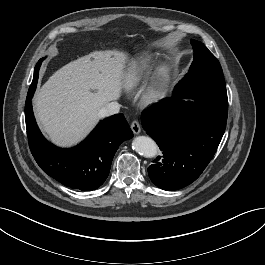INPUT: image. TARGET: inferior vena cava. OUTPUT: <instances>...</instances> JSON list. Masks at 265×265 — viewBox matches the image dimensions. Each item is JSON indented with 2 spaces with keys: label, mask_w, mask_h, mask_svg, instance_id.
Segmentation results:
<instances>
[{
  "label": "inferior vena cava",
  "mask_w": 265,
  "mask_h": 265,
  "mask_svg": "<svg viewBox=\"0 0 265 265\" xmlns=\"http://www.w3.org/2000/svg\"><path fill=\"white\" fill-rule=\"evenodd\" d=\"M120 110V104L117 102H110L102 107L98 113L99 117H107L118 113Z\"/></svg>",
  "instance_id": "inferior-vena-cava-1"
}]
</instances>
